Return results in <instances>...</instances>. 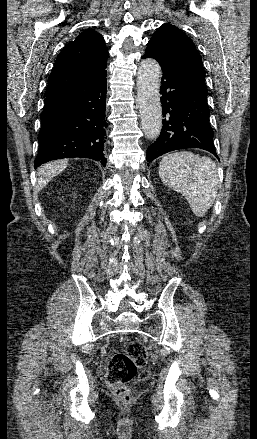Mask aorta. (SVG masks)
Listing matches in <instances>:
<instances>
[{
    "mask_svg": "<svg viewBox=\"0 0 257 439\" xmlns=\"http://www.w3.org/2000/svg\"><path fill=\"white\" fill-rule=\"evenodd\" d=\"M161 68L155 59L141 62L137 74V101L142 129L148 139H156L162 128L159 96Z\"/></svg>",
    "mask_w": 257,
    "mask_h": 439,
    "instance_id": "1",
    "label": "aorta"
}]
</instances>
